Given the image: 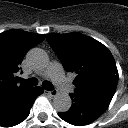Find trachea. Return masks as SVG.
Masks as SVG:
<instances>
[{"label": "trachea", "instance_id": "1", "mask_svg": "<svg viewBox=\"0 0 128 128\" xmlns=\"http://www.w3.org/2000/svg\"><path fill=\"white\" fill-rule=\"evenodd\" d=\"M18 81L26 86H36L38 84V80L36 78H29V79L19 78ZM42 86L45 90H48V91H52L54 88L53 84L49 81H44Z\"/></svg>", "mask_w": 128, "mask_h": 128}]
</instances>
